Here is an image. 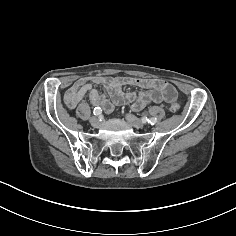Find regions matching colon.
Listing matches in <instances>:
<instances>
[{
  "mask_svg": "<svg viewBox=\"0 0 236 236\" xmlns=\"http://www.w3.org/2000/svg\"><path fill=\"white\" fill-rule=\"evenodd\" d=\"M180 106L178 103H173L169 106V110L171 112H177L179 110Z\"/></svg>",
  "mask_w": 236,
  "mask_h": 236,
  "instance_id": "5ec220e1",
  "label": "colon"
}]
</instances>
